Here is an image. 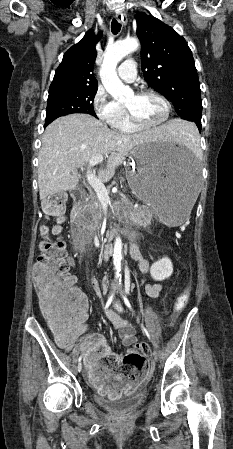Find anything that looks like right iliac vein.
<instances>
[{"label": "right iliac vein", "mask_w": 233, "mask_h": 449, "mask_svg": "<svg viewBox=\"0 0 233 449\" xmlns=\"http://www.w3.org/2000/svg\"><path fill=\"white\" fill-rule=\"evenodd\" d=\"M81 370H82V364L79 363V364H78V367H77V371L80 372Z\"/></svg>", "instance_id": "63e3f726"}]
</instances>
